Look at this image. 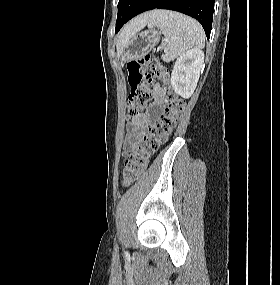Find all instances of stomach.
<instances>
[{
	"label": "stomach",
	"instance_id": "1",
	"mask_svg": "<svg viewBox=\"0 0 280 285\" xmlns=\"http://www.w3.org/2000/svg\"><path fill=\"white\" fill-rule=\"evenodd\" d=\"M160 40V33L153 27L147 31L134 34L123 45V61L139 59L149 53Z\"/></svg>",
	"mask_w": 280,
	"mask_h": 285
}]
</instances>
